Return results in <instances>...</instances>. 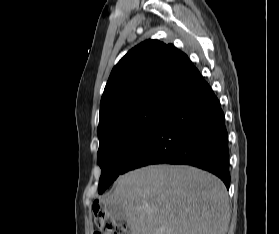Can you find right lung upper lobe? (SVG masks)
<instances>
[{
	"mask_svg": "<svg viewBox=\"0 0 279 234\" xmlns=\"http://www.w3.org/2000/svg\"><path fill=\"white\" fill-rule=\"evenodd\" d=\"M200 76L188 56L172 44L146 40L113 68L101 98L99 126L130 110L168 107Z\"/></svg>",
	"mask_w": 279,
	"mask_h": 234,
	"instance_id": "obj_1",
	"label": "right lung upper lobe"
}]
</instances>
